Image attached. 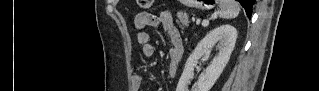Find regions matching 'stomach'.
I'll return each mask as SVG.
<instances>
[{"mask_svg":"<svg viewBox=\"0 0 319 91\" xmlns=\"http://www.w3.org/2000/svg\"><path fill=\"white\" fill-rule=\"evenodd\" d=\"M186 2V4H189L191 6H194L195 4L194 3H188V1H184ZM215 3L216 1L215 0H204V1H201L198 6L201 7V8H204V9H211L215 6Z\"/></svg>","mask_w":319,"mask_h":91,"instance_id":"stomach-1","label":"stomach"}]
</instances>
